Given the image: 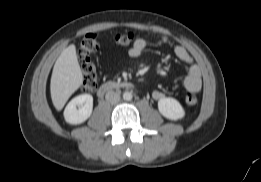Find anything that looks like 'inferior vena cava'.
<instances>
[{
	"instance_id": "1",
	"label": "inferior vena cava",
	"mask_w": 261,
	"mask_h": 182,
	"mask_svg": "<svg viewBox=\"0 0 261 182\" xmlns=\"http://www.w3.org/2000/svg\"><path fill=\"white\" fill-rule=\"evenodd\" d=\"M105 99L111 104H116L120 101V94L115 91H108L105 95Z\"/></svg>"
}]
</instances>
